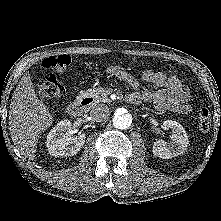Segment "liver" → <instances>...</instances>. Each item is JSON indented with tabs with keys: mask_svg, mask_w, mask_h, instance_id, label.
<instances>
[{
	"mask_svg": "<svg viewBox=\"0 0 221 221\" xmlns=\"http://www.w3.org/2000/svg\"><path fill=\"white\" fill-rule=\"evenodd\" d=\"M53 123V117L34 90L29 73L21 78L10 104L9 131L21 154L34 160L40 135Z\"/></svg>",
	"mask_w": 221,
	"mask_h": 221,
	"instance_id": "6515ba94",
	"label": "liver"
}]
</instances>
